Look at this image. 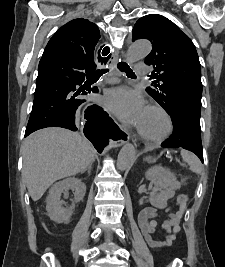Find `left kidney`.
Returning <instances> with one entry per match:
<instances>
[{
	"mask_svg": "<svg viewBox=\"0 0 225 267\" xmlns=\"http://www.w3.org/2000/svg\"><path fill=\"white\" fill-rule=\"evenodd\" d=\"M145 177L154 182L159 193L151 194L149 201L152 206L164 209L167 207V201L174 197L175 190L180 189L181 184L176 180V176L166 168L154 166L147 170ZM167 188L166 191L163 189Z\"/></svg>",
	"mask_w": 225,
	"mask_h": 267,
	"instance_id": "obj_1",
	"label": "left kidney"
}]
</instances>
